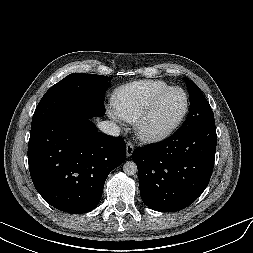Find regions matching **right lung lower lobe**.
<instances>
[{
	"label": "right lung lower lobe",
	"mask_w": 253,
	"mask_h": 253,
	"mask_svg": "<svg viewBox=\"0 0 253 253\" xmlns=\"http://www.w3.org/2000/svg\"><path fill=\"white\" fill-rule=\"evenodd\" d=\"M125 158L123 138L98 132L88 117L65 115L30 131L28 163L33 184L45 201L64 212L93 210L107 176Z\"/></svg>",
	"instance_id": "obj_1"
}]
</instances>
